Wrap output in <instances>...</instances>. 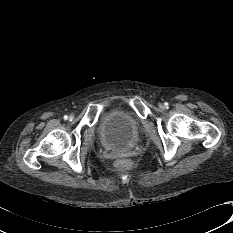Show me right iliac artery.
I'll return each instance as SVG.
<instances>
[{
	"mask_svg": "<svg viewBox=\"0 0 233 233\" xmlns=\"http://www.w3.org/2000/svg\"><path fill=\"white\" fill-rule=\"evenodd\" d=\"M63 118H64V120H67V119H68V116H67V115H65Z\"/></svg>",
	"mask_w": 233,
	"mask_h": 233,
	"instance_id": "right-iliac-artery-1",
	"label": "right iliac artery"
}]
</instances>
